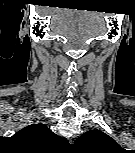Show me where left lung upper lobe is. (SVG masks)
I'll return each instance as SVG.
<instances>
[{"mask_svg": "<svg viewBox=\"0 0 135 153\" xmlns=\"http://www.w3.org/2000/svg\"><path fill=\"white\" fill-rule=\"evenodd\" d=\"M75 144L91 153H117L122 148L110 136L99 130H90L76 139Z\"/></svg>", "mask_w": 135, "mask_h": 153, "instance_id": "1", "label": "left lung upper lobe"}]
</instances>
